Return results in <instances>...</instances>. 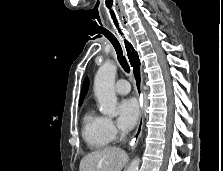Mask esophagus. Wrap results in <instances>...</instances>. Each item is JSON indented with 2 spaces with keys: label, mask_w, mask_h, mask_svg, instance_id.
Instances as JSON below:
<instances>
[{
  "label": "esophagus",
  "mask_w": 223,
  "mask_h": 171,
  "mask_svg": "<svg viewBox=\"0 0 223 171\" xmlns=\"http://www.w3.org/2000/svg\"><path fill=\"white\" fill-rule=\"evenodd\" d=\"M110 18H112V21L115 22L113 25V28L118 31L119 35H122L123 39L127 38V31L124 30V27L121 25V13H110ZM126 56H128V62L131 67L132 75L134 78V86L136 94L140 100V106L142 107V61L140 60L139 51H136L135 48L132 47V41H126ZM143 123H144V117H143V111L141 108L140 117L138 121L137 128L135 130L134 136L130 142V146L134 147L137 145L141 135H142V129H143Z\"/></svg>",
  "instance_id": "1"
}]
</instances>
